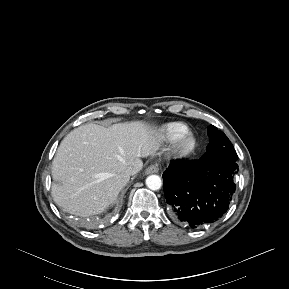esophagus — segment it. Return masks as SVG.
<instances>
[{
    "mask_svg": "<svg viewBox=\"0 0 289 289\" xmlns=\"http://www.w3.org/2000/svg\"><path fill=\"white\" fill-rule=\"evenodd\" d=\"M159 172V166L157 164H152L148 166L145 170L146 174H155Z\"/></svg>",
    "mask_w": 289,
    "mask_h": 289,
    "instance_id": "obj_1",
    "label": "esophagus"
}]
</instances>
